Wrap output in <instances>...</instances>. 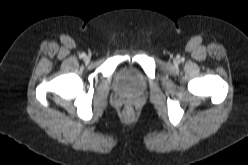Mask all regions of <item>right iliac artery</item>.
<instances>
[{
  "mask_svg": "<svg viewBox=\"0 0 248 165\" xmlns=\"http://www.w3.org/2000/svg\"><path fill=\"white\" fill-rule=\"evenodd\" d=\"M85 56V54L84 53H82L81 55H80V58H83Z\"/></svg>",
  "mask_w": 248,
  "mask_h": 165,
  "instance_id": "1",
  "label": "right iliac artery"
}]
</instances>
